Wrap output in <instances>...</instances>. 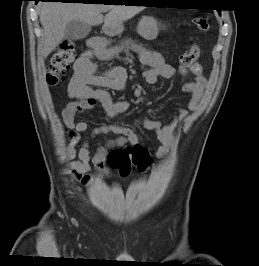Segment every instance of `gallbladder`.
Wrapping results in <instances>:
<instances>
[{
    "mask_svg": "<svg viewBox=\"0 0 259 266\" xmlns=\"http://www.w3.org/2000/svg\"><path fill=\"white\" fill-rule=\"evenodd\" d=\"M91 25L81 22L79 20H73L66 25L65 38L69 40H81L89 34L91 31Z\"/></svg>",
    "mask_w": 259,
    "mask_h": 266,
    "instance_id": "obj_1",
    "label": "gallbladder"
}]
</instances>
